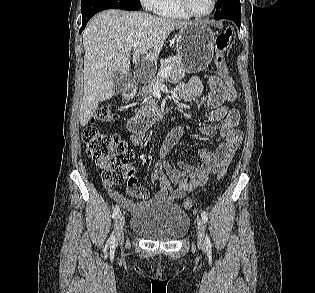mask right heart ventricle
I'll return each mask as SVG.
<instances>
[{"instance_id":"e07e8e85","label":"right heart ventricle","mask_w":315,"mask_h":293,"mask_svg":"<svg viewBox=\"0 0 315 293\" xmlns=\"http://www.w3.org/2000/svg\"><path fill=\"white\" fill-rule=\"evenodd\" d=\"M156 13L171 19H187L190 15L182 8L180 0H159Z\"/></svg>"}]
</instances>
